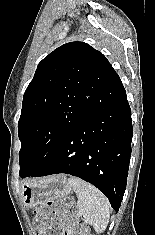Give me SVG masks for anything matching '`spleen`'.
I'll return each instance as SVG.
<instances>
[{
  "label": "spleen",
  "mask_w": 155,
  "mask_h": 235,
  "mask_svg": "<svg viewBox=\"0 0 155 235\" xmlns=\"http://www.w3.org/2000/svg\"><path fill=\"white\" fill-rule=\"evenodd\" d=\"M68 184L78 198V216L92 225L97 233L104 232L110 217V204L106 196L95 186L80 178L70 177Z\"/></svg>",
  "instance_id": "spleen-1"
}]
</instances>
